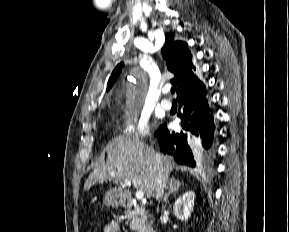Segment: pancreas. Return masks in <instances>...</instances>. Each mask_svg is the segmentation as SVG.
Instances as JSON below:
<instances>
[{"label":"pancreas","instance_id":"cf45deb5","mask_svg":"<svg viewBox=\"0 0 289 232\" xmlns=\"http://www.w3.org/2000/svg\"><path fill=\"white\" fill-rule=\"evenodd\" d=\"M125 215L130 221V229L136 232H148L151 222H149L147 212L143 208L128 209Z\"/></svg>","mask_w":289,"mask_h":232}]
</instances>
